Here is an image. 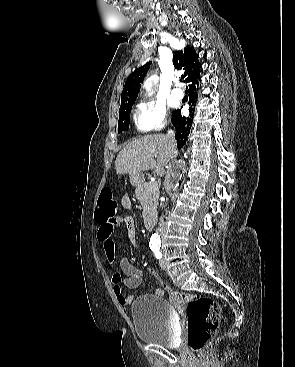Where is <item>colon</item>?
Masks as SVG:
<instances>
[{"instance_id": "obj_1", "label": "colon", "mask_w": 295, "mask_h": 367, "mask_svg": "<svg viewBox=\"0 0 295 367\" xmlns=\"http://www.w3.org/2000/svg\"><path fill=\"white\" fill-rule=\"evenodd\" d=\"M117 203L113 199L112 191L104 188L99 197V208L96 219L98 222H109L116 218ZM151 274L161 285L164 291L174 297L187 300L189 347L197 353H201L206 344L216 335L220 321V306L211 297L206 295L180 293L173 291L164 279L154 270Z\"/></svg>"}]
</instances>
